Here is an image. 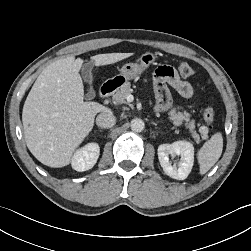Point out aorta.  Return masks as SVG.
<instances>
[{"label":"aorta","instance_id":"aorta-1","mask_svg":"<svg viewBox=\"0 0 251 251\" xmlns=\"http://www.w3.org/2000/svg\"><path fill=\"white\" fill-rule=\"evenodd\" d=\"M144 127V121L141 119L136 118L131 121V129L134 132H142Z\"/></svg>","mask_w":251,"mask_h":251}]
</instances>
